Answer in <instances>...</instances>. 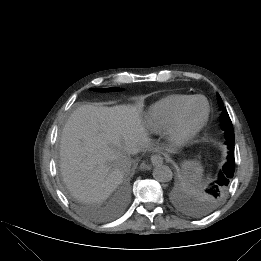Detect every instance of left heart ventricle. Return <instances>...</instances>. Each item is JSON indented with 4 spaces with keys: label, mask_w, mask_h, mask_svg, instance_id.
I'll return each mask as SVG.
<instances>
[{
    "label": "left heart ventricle",
    "mask_w": 261,
    "mask_h": 261,
    "mask_svg": "<svg viewBox=\"0 0 261 261\" xmlns=\"http://www.w3.org/2000/svg\"><path fill=\"white\" fill-rule=\"evenodd\" d=\"M205 112V103L203 100H195L186 110L182 127L189 130L194 127L203 117Z\"/></svg>",
    "instance_id": "left-heart-ventricle-1"
}]
</instances>
